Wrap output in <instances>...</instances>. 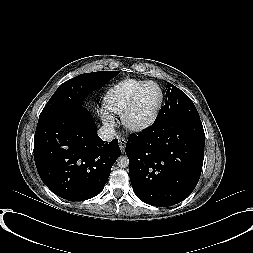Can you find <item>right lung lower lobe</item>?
<instances>
[{"label":"right lung lower lobe","mask_w":253,"mask_h":253,"mask_svg":"<svg viewBox=\"0 0 253 253\" xmlns=\"http://www.w3.org/2000/svg\"><path fill=\"white\" fill-rule=\"evenodd\" d=\"M120 155L118 140L102 141L82 105L38 121L34 137L37 171L61 198L83 201L99 194Z\"/></svg>","instance_id":"1"}]
</instances>
